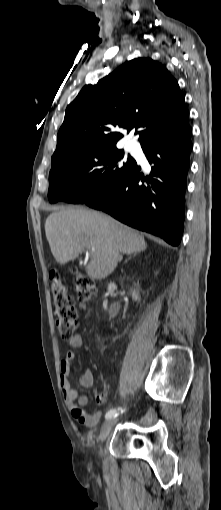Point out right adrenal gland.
Returning <instances> with one entry per match:
<instances>
[{"label":"right adrenal gland","mask_w":221,"mask_h":510,"mask_svg":"<svg viewBox=\"0 0 221 510\" xmlns=\"http://www.w3.org/2000/svg\"><path fill=\"white\" fill-rule=\"evenodd\" d=\"M135 255H136V253H134V254H133V256H135ZM121 258H122V257H121ZM130 258H131V256H129V257H128V259H130ZM128 259H126V260H125V262H126Z\"/></svg>","instance_id":"2a0ac1e0"}]
</instances>
